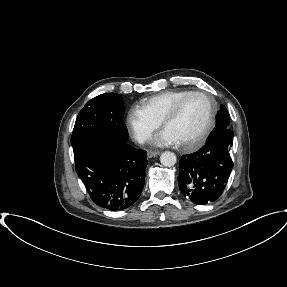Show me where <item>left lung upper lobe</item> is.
<instances>
[{
	"label": "left lung upper lobe",
	"instance_id": "5c2ea615",
	"mask_svg": "<svg viewBox=\"0 0 287 287\" xmlns=\"http://www.w3.org/2000/svg\"><path fill=\"white\" fill-rule=\"evenodd\" d=\"M216 120H217V126L210 134L209 138L213 137L214 135L225 129H229V123H230L229 113L225 108V106L223 105L220 106V111H218L217 113Z\"/></svg>",
	"mask_w": 287,
	"mask_h": 287
}]
</instances>
